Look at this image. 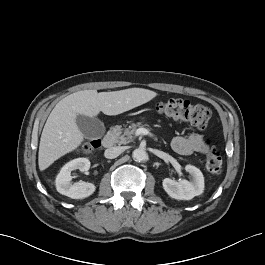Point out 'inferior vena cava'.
I'll use <instances>...</instances> for the list:
<instances>
[{"label": "inferior vena cava", "instance_id": "602c4592", "mask_svg": "<svg viewBox=\"0 0 265 265\" xmlns=\"http://www.w3.org/2000/svg\"><path fill=\"white\" fill-rule=\"evenodd\" d=\"M123 152L122 147L116 146L105 150L104 156L108 159H114L118 157Z\"/></svg>", "mask_w": 265, "mask_h": 265}]
</instances>
